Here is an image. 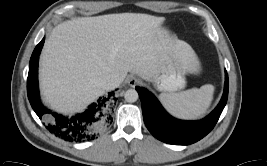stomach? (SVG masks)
<instances>
[{
    "label": "stomach",
    "instance_id": "1",
    "mask_svg": "<svg viewBox=\"0 0 267 166\" xmlns=\"http://www.w3.org/2000/svg\"><path fill=\"white\" fill-rule=\"evenodd\" d=\"M168 38L169 32L164 29ZM184 66L174 53H167L165 60L160 65L159 72L152 78L159 90L174 92L185 87Z\"/></svg>",
    "mask_w": 267,
    "mask_h": 166
}]
</instances>
